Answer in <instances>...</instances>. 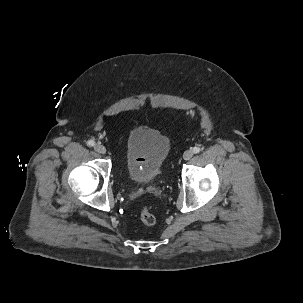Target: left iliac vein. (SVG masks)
I'll return each mask as SVG.
<instances>
[{
  "instance_id": "left-iliac-vein-1",
  "label": "left iliac vein",
  "mask_w": 303,
  "mask_h": 303,
  "mask_svg": "<svg viewBox=\"0 0 303 303\" xmlns=\"http://www.w3.org/2000/svg\"><path fill=\"white\" fill-rule=\"evenodd\" d=\"M193 151L192 150H186L183 154L184 160H189L193 157Z\"/></svg>"
}]
</instances>
